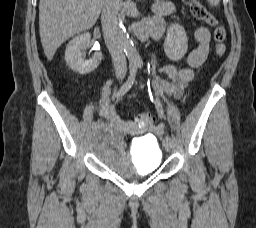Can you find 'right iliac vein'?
I'll return each instance as SVG.
<instances>
[{"instance_id": "63e3f726", "label": "right iliac vein", "mask_w": 256, "mask_h": 228, "mask_svg": "<svg viewBox=\"0 0 256 228\" xmlns=\"http://www.w3.org/2000/svg\"><path fill=\"white\" fill-rule=\"evenodd\" d=\"M95 130H97V127H94V129H90L89 130L90 135H93L95 133Z\"/></svg>"}]
</instances>
